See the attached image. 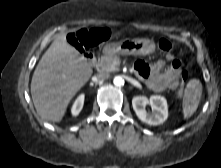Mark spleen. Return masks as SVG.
<instances>
[{"label": "spleen", "mask_w": 221, "mask_h": 168, "mask_svg": "<svg viewBox=\"0 0 221 168\" xmlns=\"http://www.w3.org/2000/svg\"><path fill=\"white\" fill-rule=\"evenodd\" d=\"M202 93V84L198 79H192L187 84L183 100V117L189 119L197 110Z\"/></svg>", "instance_id": "obj_1"}]
</instances>
